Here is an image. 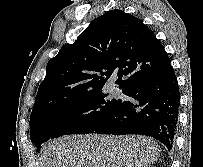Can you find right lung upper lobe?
Segmentation results:
<instances>
[{
    "instance_id": "1",
    "label": "right lung upper lobe",
    "mask_w": 203,
    "mask_h": 167,
    "mask_svg": "<svg viewBox=\"0 0 203 167\" xmlns=\"http://www.w3.org/2000/svg\"><path fill=\"white\" fill-rule=\"evenodd\" d=\"M169 66L170 59L150 28L122 10H111L47 63L32 111L56 99L100 91L114 74L124 92Z\"/></svg>"
}]
</instances>
